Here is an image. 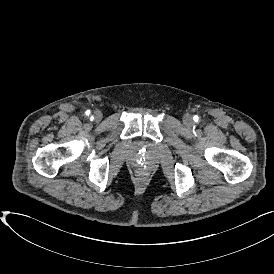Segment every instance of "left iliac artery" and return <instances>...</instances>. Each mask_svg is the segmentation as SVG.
I'll return each mask as SVG.
<instances>
[{"instance_id":"1","label":"left iliac artery","mask_w":274,"mask_h":274,"mask_svg":"<svg viewBox=\"0 0 274 274\" xmlns=\"http://www.w3.org/2000/svg\"><path fill=\"white\" fill-rule=\"evenodd\" d=\"M193 119H194V121H198L199 120V117L197 116V115H195L194 117H193Z\"/></svg>"}]
</instances>
